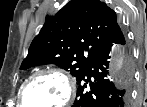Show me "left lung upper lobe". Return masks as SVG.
Instances as JSON below:
<instances>
[{
  "mask_svg": "<svg viewBox=\"0 0 147 107\" xmlns=\"http://www.w3.org/2000/svg\"><path fill=\"white\" fill-rule=\"evenodd\" d=\"M118 24L116 13L99 0H71L47 17L20 69L55 64L79 78Z\"/></svg>",
  "mask_w": 147,
  "mask_h": 107,
  "instance_id": "left-lung-upper-lobe-1",
  "label": "left lung upper lobe"
}]
</instances>
